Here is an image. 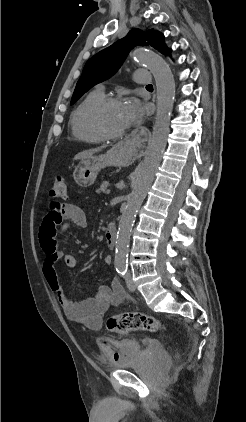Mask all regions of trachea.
I'll return each instance as SVG.
<instances>
[{
    "instance_id": "1",
    "label": "trachea",
    "mask_w": 246,
    "mask_h": 422,
    "mask_svg": "<svg viewBox=\"0 0 246 422\" xmlns=\"http://www.w3.org/2000/svg\"><path fill=\"white\" fill-rule=\"evenodd\" d=\"M147 87H152V85L150 84V85H147Z\"/></svg>"
}]
</instances>
